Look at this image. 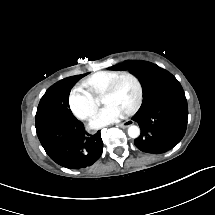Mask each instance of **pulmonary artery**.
Wrapping results in <instances>:
<instances>
[{
    "label": "pulmonary artery",
    "instance_id": "obj_1",
    "mask_svg": "<svg viewBox=\"0 0 215 215\" xmlns=\"http://www.w3.org/2000/svg\"><path fill=\"white\" fill-rule=\"evenodd\" d=\"M92 82H93L94 86L101 88V87L105 86L107 79H106L105 75L98 73V74L94 75Z\"/></svg>",
    "mask_w": 215,
    "mask_h": 215
}]
</instances>
